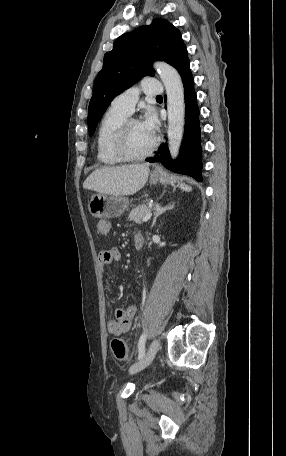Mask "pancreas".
<instances>
[{
  "instance_id": "cf45deb5",
  "label": "pancreas",
  "mask_w": 286,
  "mask_h": 456,
  "mask_svg": "<svg viewBox=\"0 0 286 456\" xmlns=\"http://www.w3.org/2000/svg\"><path fill=\"white\" fill-rule=\"evenodd\" d=\"M150 207L149 205H138L132 209L130 212L128 219L135 222V223H142L143 218L146 216V214L149 212Z\"/></svg>"
}]
</instances>
